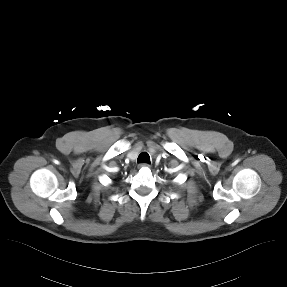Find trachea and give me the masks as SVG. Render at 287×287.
Here are the masks:
<instances>
[{
  "mask_svg": "<svg viewBox=\"0 0 287 287\" xmlns=\"http://www.w3.org/2000/svg\"><path fill=\"white\" fill-rule=\"evenodd\" d=\"M138 163H148L150 164V157L148 155V153L146 152H142L137 159Z\"/></svg>",
  "mask_w": 287,
  "mask_h": 287,
  "instance_id": "trachea-1",
  "label": "trachea"
}]
</instances>
